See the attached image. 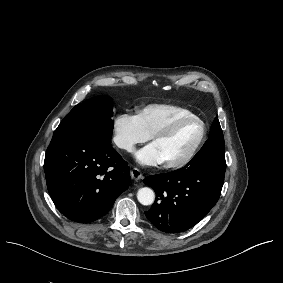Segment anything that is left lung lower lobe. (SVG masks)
<instances>
[{
  "mask_svg": "<svg viewBox=\"0 0 283 283\" xmlns=\"http://www.w3.org/2000/svg\"><path fill=\"white\" fill-rule=\"evenodd\" d=\"M225 168V150L203 146L185 167L148 176L144 183L154 189L156 200L146 217L166 233L193 227L219 199Z\"/></svg>",
  "mask_w": 283,
  "mask_h": 283,
  "instance_id": "obj_1",
  "label": "left lung lower lobe"
}]
</instances>
